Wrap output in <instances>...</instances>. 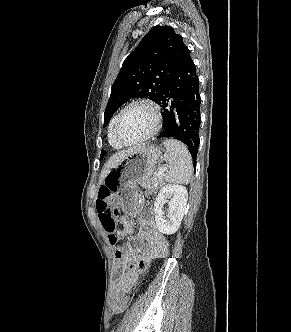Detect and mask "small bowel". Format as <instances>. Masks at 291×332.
<instances>
[{
    "label": "small bowel",
    "mask_w": 291,
    "mask_h": 332,
    "mask_svg": "<svg viewBox=\"0 0 291 332\" xmlns=\"http://www.w3.org/2000/svg\"><path fill=\"white\" fill-rule=\"evenodd\" d=\"M121 222L123 229L120 237L133 232L130 220L123 218ZM139 225V230L132 238L138 245L120 248L115 256V271L119 275L113 290L116 299H121L134 286L153 259L164 258L168 252V242L156 228L152 217L141 215Z\"/></svg>",
    "instance_id": "obj_1"
}]
</instances>
